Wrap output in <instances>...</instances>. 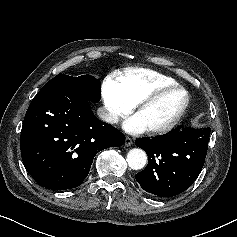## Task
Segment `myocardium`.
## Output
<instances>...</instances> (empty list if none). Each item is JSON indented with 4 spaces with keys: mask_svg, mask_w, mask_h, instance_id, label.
Here are the masks:
<instances>
[{
    "mask_svg": "<svg viewBox=\"0 0 237 237\" xmlns=\"http://www.w3.org/2000/svg\"><path fill=\"white\" fill-rule=\"evenodd\" d=\"M173 91H182L185 95V100L182 106L180 107L179 111L175 114V116L165 125L158 126V127H151L147 128L146 132L149 134H164L169 131H171L181 120L183 115L185 114L187 108L189 107L190 104V95L189 92L182 86L180 85H169V86H163L158 88L156 91L153 93L147 95L143 99H141L139 102H137L134 105V112L135 114L144 109L145 107L155 103L157 100H159L161 97L164 95L173 92Z\"/></svg>",
    "mask_w": 237,
    "mask_h": 237,
    "instance_id": "myocardium-1",
    "label": "myocardium"
}]
</instances>
